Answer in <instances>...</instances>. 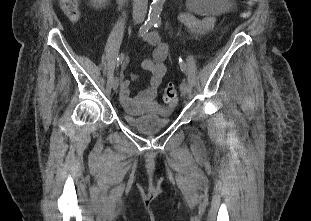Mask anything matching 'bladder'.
<instances>
[{
    "label": "bladder",
    "instance_id": "1",
    "mask_svg": "<svg viewBox=\"0 0 311 221\" xmlns=\"http://www.w3.org/2000/svg\"><path fill=\"white\" fill-rule=\"evenodd\" d=\"M120 111L124 123L141 134L154 135L172 124V108H132L129 104L126 108L121 107Z\"/></svg>",
    "mask_w": 311,
    "mask_h": 221
}]
</instances>
